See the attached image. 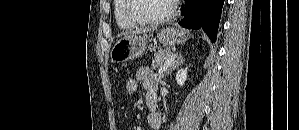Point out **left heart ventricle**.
<instances>
[{"instance_id":"left-heart-ventricle-1","label":"left heart ventricle","mask_w":299,"mask_h":130,"mask_svg":"<svg viewBox=\"0 0 299 130\" xmlns=\"http://www.w3.org/2000/svg\"><path fill=\"white\" fill-rule=\"evenodd\" d=\"M170 5L168 0H134L132 11L140 18H154L165 15Z\"/></svg>"}]
</instances>
